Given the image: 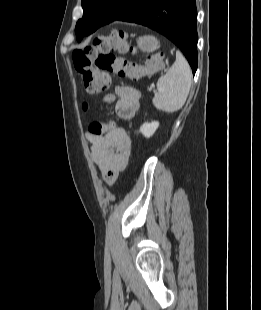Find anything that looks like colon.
Here are the masks:
<instances>
[{
  "mask_svg": "<svg viewBox=\"0 0 261 310\" xmlns=\"http://www.w3.org/2000/svg\"><path fill=\"white\" fill-rule=\"evenodd\" d=\"M131 50L127 34L122 30L99 36L91 45L75 50L72 54L73 64L83 79L86 91L96 94L108 89L111 86V74L138 80L161 69L163 62L159 54L149 56L143 65L116 54ZM106 129L107 125L100 122H92L89 126L92 134H102Z\"/></svg>",
  "mask_w": 261,
  "mask_h": 310,
  "instance_id": "obj_1",
  "label": "colon"
}]
</instances>
